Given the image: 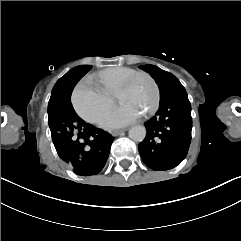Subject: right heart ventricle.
I'll return each instance as SVG.
<instances>
[{"label": "right heart ventricle", "instance_id": "e07e8e85", "mask_svg": "<svg viewBox=\"0 0 241 241\" xmlns=\"http://www.w3.org/2000/svg\"><path fill=\"white\" fill-rule=\"evenodd\" d=\"M132 72H134V70L131 68L115 65L105 68L93 76L97 79L96 86L106 97L110 92H113L120 86L121 79L125 74ZM82 85H85L84 81Z\"/></svg>", "mask_w": 241, "mask_h": 241}]
</instances>
